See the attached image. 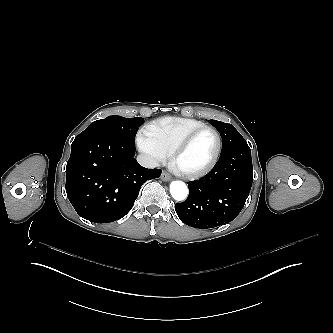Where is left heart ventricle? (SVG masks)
Returning <instances> with one entry per match:
<instances>
[{
    "mask_svg": "<svg viewBox=\"0 0 333 333\" xmlns=\"http://www.w3.org/2000/svg\"><path fill=\"white\" fill-rule=\"evenodd\" d=\"M217 141L210 130L197 134L189 146L176 158L174 167L180 171H194L206 166L213 158Z\"/></svg>",
    "mask_w": 333,
    "mask_h": 333,
    "instance_id": "left-heart-ventricle-1",
    "label": "left heart ventricle"
}]
</instances>
